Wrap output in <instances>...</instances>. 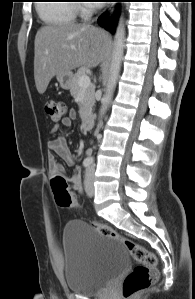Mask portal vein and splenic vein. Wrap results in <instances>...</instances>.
Wrapping results in <instances>:
<instances>
[{"label":"portal vein and splenic vein","instance_id":"18ae733b","mask_svg":"<svg viewBox=\"0 0 195 299\" xmlns=\"http://www.w3.org/2000/svg\"><path fill=\"white\" fill-rule=\"evenodd\" d=\"M90 83H91L90 77L87 75H83L79 79V86L82 88L88 87Z\"/></svg>","mask_w":195,"mask_h":299}]
</instances>
